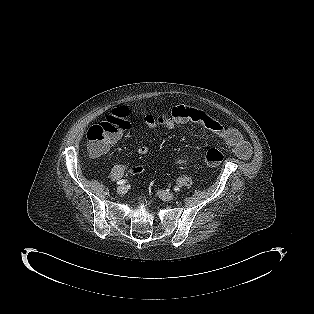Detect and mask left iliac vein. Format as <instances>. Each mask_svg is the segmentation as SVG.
<instances>
[{
  "mask_svg": "<svg viewBox=\"0 0 314 314\" xmlns=\"http://www.w3.org/2000/svg\"><path fill=\"white\" fill-rule=\"evenodd\" d=\"M158 195L164 201H171L175 198L174 194H172L170 192H165V191H159Z\"/></svg>",
  "mask_w": 314,
  "mask_h": 314,
  "instance_id": "1",
  "label": "left iliac vein"
}]
</instances>
